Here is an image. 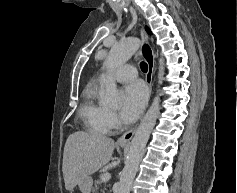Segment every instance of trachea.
<instances>
[{
	"label": "trachea",
	"mask_w": 237,
	"mask_h": 193,
	"mask_svg": "<svg viewBox=\"0 0 237 193\" xmlns=\"http://www.w3.org/2000/svg\"><path fill=\"white\" fill-rule=\"evenodd\" d=\"M140 66H141V70L143 72H147L148 66H147V64L145 62H141Z\"/></svg>",
	"instance_id": "trachea-1"
}]
</instances>
